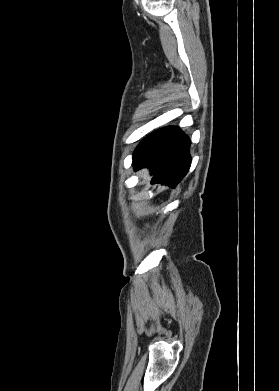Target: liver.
I'll list each match as a JSON object with an SVG mask.
<instances>
[{
    "instance_id": "obj_1",
    "label": "liver",
    "mask_w": 279,
    "mask_h": 391,
    "mask_svg": "<svg viewBox=\"0 0 279 391\" xmlns=\"http://www.w3.org/2000/svg\"><path fill=\"white\" fill-rule=\"evenodd\" d=\"M141 177H143V179H144L145 181L149 180V177H148V175H147V171H146V170H144V171L142 172Z\"/></svg>"
}]
</instances>
